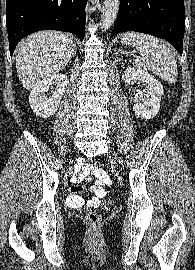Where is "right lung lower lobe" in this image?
Here are the masks:
<instances>
[{"instance_id":"1","label":"right lung lower lobe","mask_w":195,"mask_h":270,"mask_svg":"<svg viewBox=\"0 0 195 270\" xmlns=\"http://www.w3.org/2000/svg\"><path fill=\"white\" fill-rule=\"evenodd\" d=\"M87 0H6L9 50L29 34L43 29L70 32L83 40Z\"/></svg>"}]
</instances>
